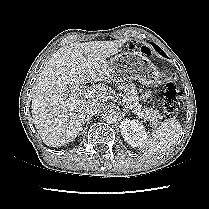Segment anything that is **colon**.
<instances>
[{
    "label": "colon",
    "mask_w": 209,
    "mask_h": 209,
    "mask_svg": "<svg viewBox=\"0 0 209 209\" xmlns=\"http://www.w3.org/2000/svg\"><path fill=\"white\" fill-rule=\"evenodd\" d=\"M141 51L149 55L151 53L147 46H142ZM182 106V94L177 89L175 83L168 82L164 89L163 109L167 116L176 114Z\"/></svg>",
    "instance_id": "obj_1"
}]
</instances>
